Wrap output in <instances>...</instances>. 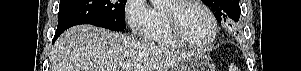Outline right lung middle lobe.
I'll return each instance as SVG.
<instances>
[{
    "label": "right lung middle lobe",
    "instance_id": "1",
    "mask_svg": "<svg viewBox=\"0 0 301 71\" xmlns=\"http://www.w3.org/2000/svg\"><path fill=\"white\" fill-rule=\"evenodd\" d=\"M127 0H61L58 30L91 24L114 31L126 29L124 12Z\"/></svg>",
    "mask_w": 301,
    "mask_h": 71
}]
</instances>
